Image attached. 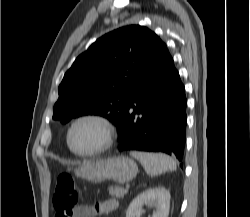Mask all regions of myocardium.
Listing matches in <instances>:
<instances>
[{
	"label": "myocardium",
	"mask_w": 250,
	"mask_h": 217,
	"mask_svg": "<svg viewBox=\"0 0 250 217\" xmlns=\"http://www.w3.org/2000/svg\"><path fill=\"white\" fill-rule=\"evenodd\" d=\"M84 121H92V122L97 123L101 127L102 133H103L101 143L95 149H92L89 151H79L74 148L71 142V135H72L74 128L79 123L84 122ZM114 136H115L114 125L107 117L98 113H86V114H82L76 117L70 123L67 129V133H66V141H67L68 147L74 154L78 156H82V157H92V156L99 155L105 152L107 149H109L111 145L113 144Z\"/></svg>",
	"instance_id": "obj_1"
}]
</instances>
